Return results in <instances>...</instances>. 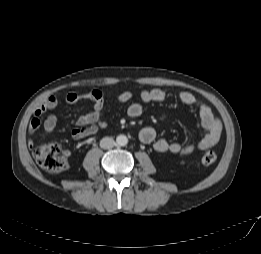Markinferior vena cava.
<instances>
[{
  "mask_svg": "<svg viewBox=\"0 0 261 254\" xmlns=\"http://www.w3.org/2000/svg\"><path fill=\"white\" fill-rule=\"evenodd\" d=\"M114 145H115V141L111 137H104L100 141V147L103 149H110L114 147Z\"/></svg>",
  "mask_w": 261,
  "mask_h": 254,
  "instance_id": "inferior-vena-cava-1",
  "label": "inferior vena cava"
}]
</instances>
